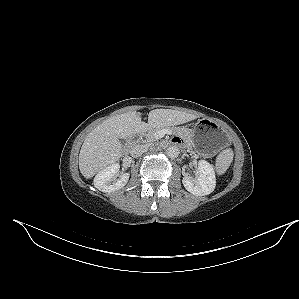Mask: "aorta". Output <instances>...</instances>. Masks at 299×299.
<instances>
[{
	"instance_id": "aorta-1",
	"label": "aorta",
	"mask_w": 299,
	"mask_h": 299,
	"mask_svg": "<svg viewBox=\"0 0 299 299\" xmlns=\"http://www.w3.org/2000/svg\"><path fill=\"white\" fill-rule=\"evenodd\" d=\"M166 152L170 158H177L180 153L179 148L177 146H169Z\"/></svg>"
}]
</instances>
